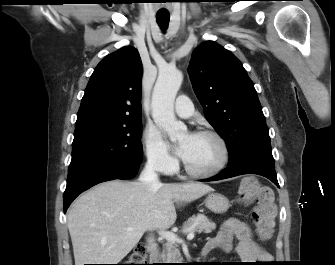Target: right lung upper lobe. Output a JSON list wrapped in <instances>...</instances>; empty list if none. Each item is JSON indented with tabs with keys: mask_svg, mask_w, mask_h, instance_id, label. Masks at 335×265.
<instances>
[{
	"mask_svg": "<svg viewBox=\"0 0 335 265\" xmlns=\"http://www.w3.org/2000/svg\"><path fill=\"white\" fill-rule=\"evenodd\" d=\"M141 80L142 62L135 48L107 55L90 77L75 129L142 120Z\"/></svg>",
	"mask_w": 335,
	"mask_h": 265,
	"instance_id": "right-lung-upper-lobe-1",
	"label": "right lung upper lobe"
}]
</instances>
